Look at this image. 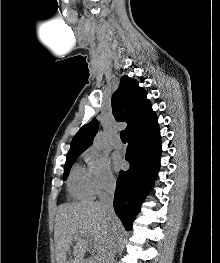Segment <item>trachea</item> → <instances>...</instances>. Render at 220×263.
Wrapping results in <instances>:
<instances>
[{
    "label": "trachea",
    "mask_w": 220,
    "mask_h": 263,
    "mask_svg": "<svg viewBox=\"0 0 220 263\" xmlns=\"http://www.w3.org/2000/svg\"><path fill=\"white\" fill-rule=\"evenodd\" d=\"M120 138H121L122 142H126V132L125 131H121Z\"/></svg>",
    "instance_id": "trachea-1"
}]
</instances>
